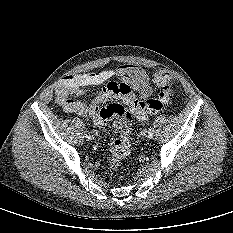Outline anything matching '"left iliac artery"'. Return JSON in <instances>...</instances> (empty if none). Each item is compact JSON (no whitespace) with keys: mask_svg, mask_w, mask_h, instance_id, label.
<instances>
[{"mask_svg":"<svg viewBox=\"0 0 233 233\" xmlns=\"http://www.w3.org/2000/svg\"><path fill=\"white\" fill-rule=\"evenodd\" d=\"M153 135H154V130L150 127V128L148 129V137H149V138H152Z\"/></svg>","mask_w":233,"mask_h":233,"instance_id":"44dca946","label":"left iliac artery"}]
</instances>
